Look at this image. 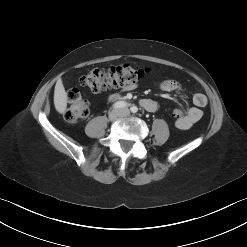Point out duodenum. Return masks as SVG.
I'll list each match as a JSON object with an SVG mask.
<instances>
[{"instance_id":"obj_1","label":"duodenum","mask_w":247,"mask_h":247,"mask_svg":"<svg viewBox=\"0 0 247 247\" xmlns=\"http://www.w3.org/2000/svg\"><path fill=\"white\" fill-rule=\"evenodd\" d=\"M121 97L119 96V95H115V96H113V99L114 100H117V99H120Z\"/></svg>"}]
</instances>
